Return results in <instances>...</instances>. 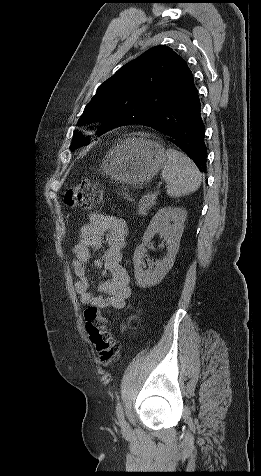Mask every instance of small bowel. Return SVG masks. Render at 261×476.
<instances>
[{
  "label": "small bowel",
  "instance_id": "small-bowel-1",
  "mask_svg": "<svg viewBox=\"0 0 261 476\" xmlns=\"http://www.w3.org/2000/svg\"><path fill=\"white\" fill-rule=\"evenodd\" d=\"M89 219L90 222L81 227L79 239L72 247V267L77 277L75 290L84 305L101 310H121L131 296L130 278L121 265L128 224L123 218L102 213H91ZM104 245L103 255L95 260V265L102 269L107 278L98 287L100 295H95L90 290L87 264L92 251Z\"/></svg>",
  "mask_w": 261,
  "mask_h": 476
}]
</instances>
